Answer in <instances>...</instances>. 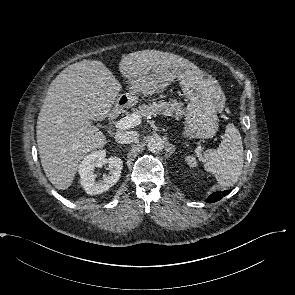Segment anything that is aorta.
Returning <instances> with one entry per match:
<instances>
[{
    "instance_id": "obj_1",
    "label": "aorta",
    "mask_w": 295,
    "mask_h": 295,
    "mask_svg": "<svg viewBox=\"0 0 295 295\" xmlns=\"http://www.w3.org/2000/svg\"><path fill=\"white\" fill-rule=\"evenodd\" d=\"M148 150L152 153H158L164 148V141L158 135L151 136L147 143Z\"/></svg>"
}]
</instances>
